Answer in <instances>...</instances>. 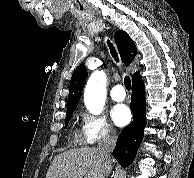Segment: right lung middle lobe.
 I'll use <instances>...</instances> for the list:
<instances>
[{
  "instance_id": "dd1d6c3e",
  "label": "right lung middle lobe",
  "mask_w": 194,
  "mask_h": 178,
  "mask_svg": "<svg viewBox=\"0 0 194 178\" xmlns=\"http://www.w3.org/2000/svg\"><path fill=\"white\" fill-rule=\"evenodd\" d=\"M72 114H73V111L67 112L66 118H65V127L67 126L68 121L71 118Z\"/></svg>"
}]
</instances>
